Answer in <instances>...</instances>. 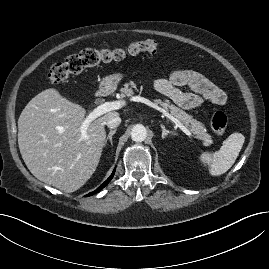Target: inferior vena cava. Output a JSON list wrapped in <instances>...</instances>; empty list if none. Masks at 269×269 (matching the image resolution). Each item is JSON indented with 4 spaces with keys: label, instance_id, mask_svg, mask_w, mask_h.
<instances>
[{
    "label": "inferior vena cava",
    "instance_id": "602c4592",
    "mask_svg": "<svg viewBox=\"0 0 269 269\" xmlns=\"http://www.w3.org/2000/svg\"><path fill=\"white\" fill-rule=\"evenodd\" d=\"M121 123V118L118 115L111 116L107 121L106 125L108 128H116L120 125Z\"/></svg>",
    "mask_w": 269,
    "mask_h": 269
}]
</instances>
